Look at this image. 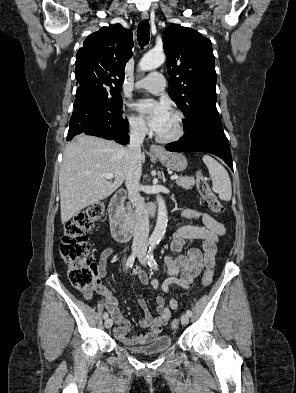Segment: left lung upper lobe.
Returning <instances> with one entry per match:
<instances>
[{"label":"left lung upper lobe","mask_w":296,"mask_h":393,"mask_svg":"<svg viewBox=\"0 0 296 393\" xmlns=\"http://www.w3.org/2000/svg\"><path fill=\"white\" fill-rule=\"evenodd\" d=\"M163 45L170 76L169 96L186 117L184 128L202 118L219 116L211 41L198 31L173 24L164 32Z\"/></svg>","instance_id":"left-lung-upper-lobe-1"}]
</instances>
